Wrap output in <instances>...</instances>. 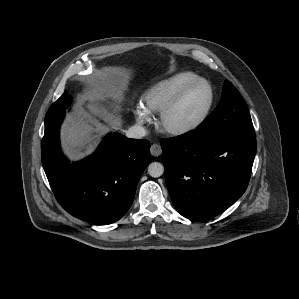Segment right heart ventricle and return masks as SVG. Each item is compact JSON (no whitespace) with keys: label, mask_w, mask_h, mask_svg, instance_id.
<instances>
[{"label":"right heart ventricle","mask_w":299,"mask_h":299,"mask_svg":"<svg viewBox=\"0 0 299 299\" xmlns=\"http://www.w3.org/2000/svg\"><path fill=\"white\" fill-rule=\"evenodd\" d=\"M197 79L199 77L192 72H180L163 79L144 92L141 105L150 114L158 113L180 89Z\"/></svg>","instance_id":"obj_1"}]
</instances>
